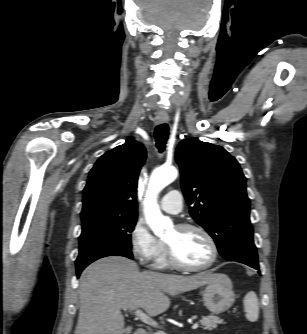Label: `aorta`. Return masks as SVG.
Wrapping results in <instances>:
<instances>
[{"instance_id": "obj_1", "label": "aorta", "mask_w": 307, "mask_h": 334, "mask_svg": "<svg viewBox=\"0 0 307 334\" xmlns=\"http://www.w3.org/2000/svg\"><path fill=\"white\" fill-rule=\"evenodd\" d=\"M178 176V172L173 166H163L153 171L148 190L144 200L145 219L156 236L161 237L165 232L173 227L169 217L162 214L157 203L158 193L167 185L172 183Z\"/></svg>"}]
</instances>
